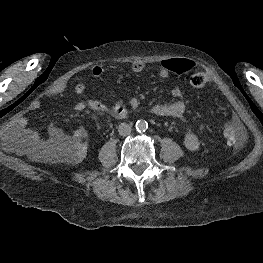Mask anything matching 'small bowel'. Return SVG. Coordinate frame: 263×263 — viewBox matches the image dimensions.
<instances>
[{
    "label": "small bowel",
    "instance_id": "small-bowel-1",
    "mask_svg": "<svg viewBox=\"0 0 263 263\" xmlns=\"http://www.w3.org/2000/svg\"><path fill=\"white\" fill-rule=\"evenodd\" d=\"M168 60L170 59L161 61L158 68L157 73L161 78H167L170 73H174L165 65ZM183 60L188 62L189 72L194 67V62L189 59ZM144 68L145 64L140 60H135L131 63V70L134 73H141ZM103 73L104 68L101 65H94L91 68V74L94 77H100L103 75ZM67 87L68 82L66 80L59 81L47 89L46 95L49 97L63 96L67 90ZM74 92L76 95L83 98L81 101L75 104L74 109L76 111L90 108L93 110L110 113L116 117H123L126 115L128 110L135 109L138 105V101L136 99H132L129 103V106H124L118 103L110 104L90 98L86 94V86L83 83L76 84L74 87ZM171 94L176 100L165 104L155 105L151 110L154 115L160 117H180L185 113L186 105L180 100V98L183 96V90L179 87H175L172 89ZM121 110H123L124 115L121 114ZM233 122L238 123L235 117H233ZM18 124L23 141L29 147L31 153L36 157H40L47 151H50L69 140L83 141L87 137V132L84 128H78L68 136L58 126L51 124L48 128L49 137L44 138L37 130L30 128L26 118H21Z\"/></svg>",
    "mask_w": 263,
    "mask_h": 263
}]
</instances>
